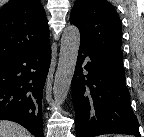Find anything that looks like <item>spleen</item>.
Returning <instances> with one entry per match:
<instances>
[{
    "instance_id": "3e777b00",
    "label": "spleen",
    "mask_w": 144,
    "mask_h": 137,
    "mask_svg": "<svg viewBox=\"0 0 144 137\" xmlns=\"http://www.w3.org/2000/svg\"><path fill=\"white\" fill-rule=\"evenodd\" d=\"M116 137H123V136H121V135H117Z\"/></svg>"
}]
</instances>
